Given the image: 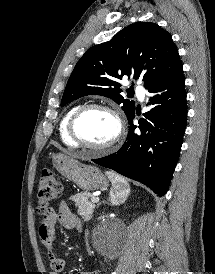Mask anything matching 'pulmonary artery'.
Wrapping results in <instances>:
<instances>
[{
    "instance_id": "pulmonary-artery-1",
    "label": "pulmonary artery",
    "mask_w": 215,
    "mask_h": 274,
    "mask_svg": "<svg viewBox=\"0 0 215 274\" xmlns=\"http://www.w3.org/2000/svg\"><path fill=\"white\" fill-rule=\"evenodd\" d=\"M136 92L138 94V97L143 100L144 99V96H145V90L142 86H137L136 87Z\"/></svg>"
}]
</instances>
